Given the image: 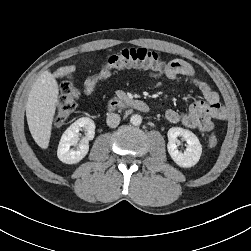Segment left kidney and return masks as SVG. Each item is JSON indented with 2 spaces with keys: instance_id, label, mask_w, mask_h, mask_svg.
Wrapping results in <instances>:
<instances>
[{
  "instance_id": "obj_1",
  "label": "left kidney",
  "mask_w": 251,
  "mask_h": 251,
  "mask_svg": "<svg viewBox=\"0 0 251 251\" xmlns=\"http://www.w3.org/2000/svg\"><path fill=\"white\" fill-rule=\"evenodd\" d=\"M167 136L168 153L178 166L190 168L198 163L202 153V146L194 133L180 127H172L168 130ZM179 136L187 142L184 152L179 151L177 148V137Z\"/></svg>"
}]
</instances>
